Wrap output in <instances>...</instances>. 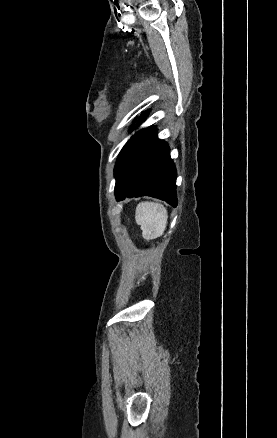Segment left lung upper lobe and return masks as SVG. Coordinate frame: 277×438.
I'll return each mask as SVG.
<instances>
[{
    "instance_id": "5c2ea615",
    "label": "left lung upper lobe",
    "mask_w": 277,
    "mask_h": 438,
    "mask_svg": "<svg viewBox=\"0 0 277 438\" xmlns=\"http://www.w3.org/2000/svg\"><path fill=\"white\" fill-rule=\"evenodd\" d=\"M131 141H132V138L125 144V146L123 147V149L121 150V152L117 158L115 169H114L116 180H117L118 175L121 171V168H122L123 162L125 160V157L127 155L128 149L130 147Z\"/></svg>"
}]
</instances>
